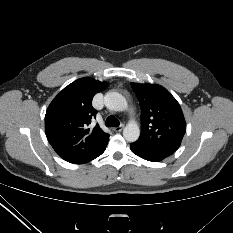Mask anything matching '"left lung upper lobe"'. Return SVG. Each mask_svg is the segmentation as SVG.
Here are the masks:
<instances>
[{"label":"left lung upper lobe","instance_id":"5c2ea615","mask_svg":"<svg viewBox=\"0 0 233 233\" xmlns=\"http://www.w3.org/2000/svg\"><path fill=\"white\" fill-rule=\"evenodd\" d=\"M141 106L139 142L171 155L186 131L183 112L176 99L162 86L131 83Z\"/></svg>","mask_w":233,"mask_h":233}]
</instances>
